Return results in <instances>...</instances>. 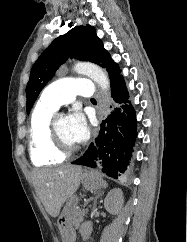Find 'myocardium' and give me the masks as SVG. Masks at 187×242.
I'll use <instances>...</instances> for the list:
<instances>
[{
  "label": "myocardium",
  "instance_id": "obj_1",
  "mask_svg": "<svg viewBox=\"0 0 187 242\" xmlns=\"http://www.w3.org/2000/svg\"><path fill=\"white\" fill-rule=\"evenodd\" d=\"M61 117L59 114L53 115L50 124H49V141L52 149L59 155L65 157H69L76 153L79 149L78 146H75L73 148H65L58 137L57 130H56V124L57 120Z\"/></svg>",
  "mask_w": 187,
  "mask_h": 242
}]
</instances>
